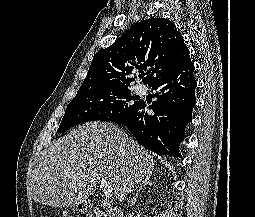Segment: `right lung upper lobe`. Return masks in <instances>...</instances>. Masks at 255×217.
<instances>
[{
  "label": "right lung upper lobe",
  "instance_id": "cb5924a9",
  "mask_svg": "<svg viewBox=\"0 0 255 217\" xmlns=\"http://www.w3.org/2000/svg\"><path fill=\"white\" fill-rule=\"evenodd\" d=\"M189 54L174 23L158 17L143 20L95 54L78 92L129 87L135 81L129 76L147 68L143 83L149 85L185 63Z\"/></svg>",
  "mask_w": 255,
  "mask_h": 217
}]
</instances>
